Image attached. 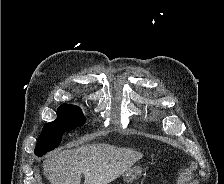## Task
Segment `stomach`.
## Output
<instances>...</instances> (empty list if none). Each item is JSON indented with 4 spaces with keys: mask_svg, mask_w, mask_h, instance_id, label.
Here are the masks:
<instances>
[{
    "mask_svg": "<svg viewBox=\"0 0 224 184\" xmlns=\"http://www.w3.org/2000/svg\"><path fill=\"white\" fill-rule=\"evenodd\" d=\"M142 168L139 166H135L133 168H129L122 174V178L124 182L130 183L141 176Z\"/></svg>",
    "mask_w": 224,
    "mask_h": 184,
    "instance_id": "1",
    "label": "stomach"
}]
</instances>
